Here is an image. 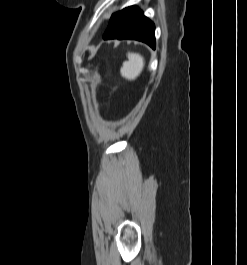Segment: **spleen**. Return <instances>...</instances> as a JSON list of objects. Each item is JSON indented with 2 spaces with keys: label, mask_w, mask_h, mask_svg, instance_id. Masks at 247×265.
Here are the masks:
<instances>
[{
  "label": "spleen",
  "mask_w": 247,
  "mask_h": 265,
  "mask_svg": "<svg viewBox=\"0 0 247 265\" xmlns=\"http://www.w3.org/2000/svg\"><path fill=\"white\" fill-rule=\"evenodd\" d=\"M128 60L123 63L120 69L121 76L127 80H135L143 70L144 59L138 53H128Z\"/></svg>",
  "instance_id": "spleen-1"
}]
</instances>
